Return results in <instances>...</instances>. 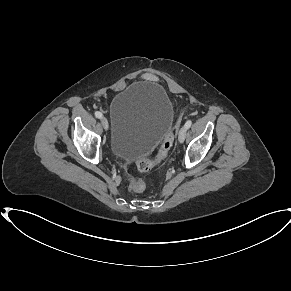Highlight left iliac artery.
<instances>
[{
  "label": "left iliac artery",
  "mask_w": 291,
  "mask_h": 291,
  "mask_svg": "<svg viewBox=\"0 0 291 291\" xmlns=\"http://www.w3.org/2000/svg\"><path fill=\"white\" fill-rule=\"evenodd\" d=\"M191 125H192V121L188 120L184 126L188 129V128H190Z\"/></svg>",
  "instance_id": "left-iliac-artery-1"
}]
</instances>
